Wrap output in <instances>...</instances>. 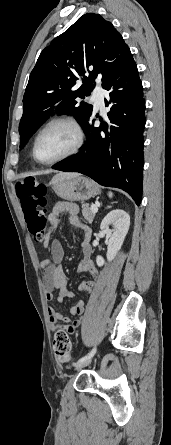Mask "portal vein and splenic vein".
<instances>
[{
	"label": "portal vein and splenic vein",
	"mask_w": 171,
	"mask_h": 445,
	"mask_svg": "<svg viewBox=\"0 0 171 445\" xmlns=\"http://www.w3.org/2000/svg\"><path fill=\"white\" fill-rule=\"evenodd\" d=\"M91 211L94 212V213H96L98 211V204L97 203L91 205Z\"/></svg>",
	"instance_id": "18ae733b"
}]
</instances>
